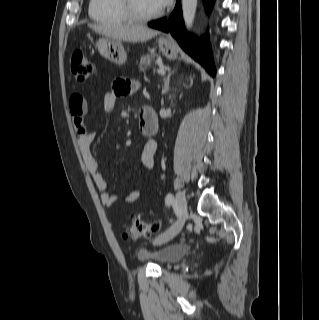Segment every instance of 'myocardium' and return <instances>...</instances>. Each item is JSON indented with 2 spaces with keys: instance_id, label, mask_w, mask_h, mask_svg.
Wrapping results in <instances>:
<instances>
[{
  "instance_id": "1",
  "label": "myocardium",
  "mask_w": 319,
  "mask_h": 320,
  "mask_svg": "<svg viewBox=\"0 0 319 320\" xmlns=\"http://www.w3.org/2000/svg\"><path fill=\"white\" fill-rule=\"evenodd\" d=\"M121 9L123 12L129 17L130 21L136 23H144L154 19L159 18L163 11L159 9L158 11L151 13V14H141L136 6L134 0H119Z\"/></svg>"
}]
</instances>
